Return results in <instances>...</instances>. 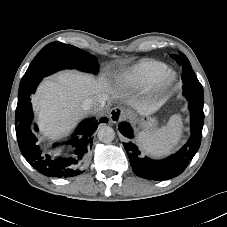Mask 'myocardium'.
Instances as JSON below:
<instances>
[{"instance_id": "f54148a6", "label": "myocardium", "mask_w": 227, "mask_h": 227, "mask_svg": "<svg viewBox=\"0 0 227 227\" xmlns=\"http://www.w3.org/2000/svg\"><path fill=\"white\" fill-rule=\"evenodd\" d=\"M175 80L176 74L173 71H167L156 83L157 90H168L174 84Z\"/></svg>"}]
</instances>
